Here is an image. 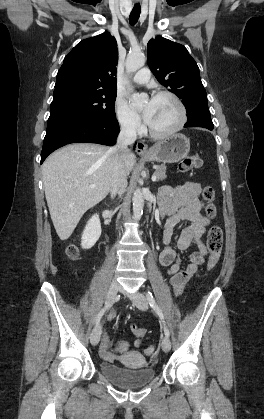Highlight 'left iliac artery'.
Listing matches in <instances>:
<instances>
[{
  "label": "left iliac artery",
  "mask_w": 264,
  "mask_h": 419,
  "mask_svg": "<svg viewBox=\"0 0 264 419\" xmlns=\"http://www.w3.org/2000/svg\"><path fill=\"white\" fill-rule=\"evenodd\" d=\"M146 297H147V300L149 302V305L155 310V312L158 314L159 318L161 319V321H162V323L164 325V333H165V335L167 337H169L170 336V332H169V329L167 328V326L165 324L163 313H162L160 307L156 304V301H155L152 293L148 291L146 293Z\"/></svg>",
  "instance_id": "left-iliac-artery-1"
}]
</instances>
